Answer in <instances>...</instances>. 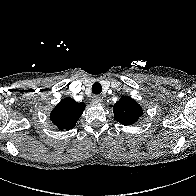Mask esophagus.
<instances>
[{"instance_id":"obj_1","label":"esophagus","mask_w":196,"mask_h":196,"mask_svg":"<svg viewBox=\"0 0 196 196\" xmlns=\"http://www.w3.org/2000/svg\"><path fill=\"white\" fill-rule=\"evenodd\" d=\"M92 101L94 103H101L103 101V98L101 96H99V95H95V96H93Z\"/></svg>"}]
</instances>
